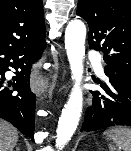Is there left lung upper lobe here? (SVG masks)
<instances>
[{
  "instance_id": "obj_1",
  "label": "left lung upper lobe",
  "mask_w": 131,
  "mask_h": 151,
  "mask_svg": "<svg viewBox=\"0 0 131 151\" xmlns=\"http://www.w3.org/2000/svg\"><path fill=\"white\" fill-rule=\"evenodd\" d=\"M77 15L88 23L89 47L104 53L108 68L131 77V1L78 0Z\"/></svg>"
}]
</instances>
